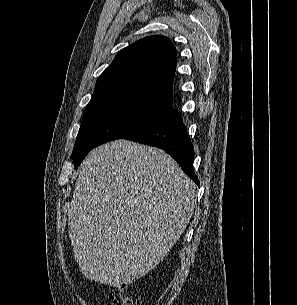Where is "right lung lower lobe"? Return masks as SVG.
Returning a JSON list of instances; mask_svg holds the SVG:
<instances>
[{
    "label": "right lung lower lobe",
    "mask_w": 297,
    "mask_h": 305,
    "mask_svg": "<svg viewBox=\"0 0 297 305\" xmlns=\"http://www.w3.org/2000/svg\"><path fill=\"white\" fill-rule=\"evenodd\" d=\"M124 139L163 149L200 186L198 177L193 170L194 147L187 136L182 117L177 110L172 109L152 124L128 135Z\"/></svg>",
    "instance_id": "obj_1"
}]
</instances>
